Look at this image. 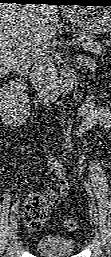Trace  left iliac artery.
<instances>
[{
	"mask_svg": "<svg viewBox=\"0 0 111 257\" xmlns=\"http://www.w3.org/2000/svg\"><path fill=\"white\" fill-rule=\"evenodd\" d=\"M85 187H86V190H87L89 196L91 197L92 202L94 203L93 193H92V191H91V189L89 187V184L86 183V182H85Z\"/></svg>",
	"mask_w": 111,
	"mask_h": 257,
	"instance_id": "44dca946",
	"label": "left iliac artery"
}]
</instances>
